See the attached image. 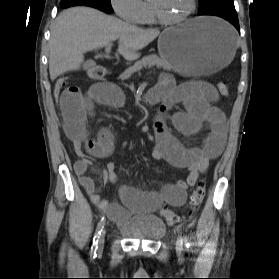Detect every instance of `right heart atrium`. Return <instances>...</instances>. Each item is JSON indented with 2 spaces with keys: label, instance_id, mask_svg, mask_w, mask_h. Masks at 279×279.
<instances>
[{
  "label": "right heart atrium",
  "instance_id": "1",
  "mask_svg": "<svg viewBox=\"0 0 279 279\" xmlns=\"http://www.w3.org/2000/svg\"><path fill=\"white\" fill-rule=\"evenodd\" d=\"M110 4L121 19L130 23H139L145 11L143 0H110Z\"/></svg>",
  "mask_w": 279,
  "mask_h": 279
}]
</instances>
